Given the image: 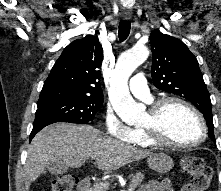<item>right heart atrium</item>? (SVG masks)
<instances>
[{
  "label": "right heart atrium",
  "instance_id": "d8ad5b80",
  "mask_svg": "<svg viewBox=\"0 0 221 191\" xmlns=\"http://www.w3.org/2000/svg\"><path fill=\"white\" fill-rule=\"evenodd\" d=\"M103 121L110 136L126 142L131 138L132 128L123 123L111 106L106 107Z\"/></svg>",
  "mask_w": 221,
  "mask_h": 191
}]
</instances>
